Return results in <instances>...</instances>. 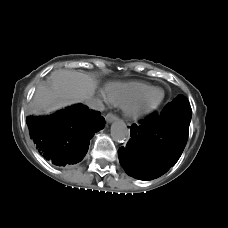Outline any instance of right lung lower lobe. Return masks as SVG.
Masks as SVG:
<instances>
[{
    "mask_svg": "<svg viewBox=\"0 0 228 228\" xmlns=\"http://www.w3.org/2000/svg\"><path fill=\"white\" fill-rule=\"evenodd\" d=\"M29 135L38 151L55 165L81 161L89 140L102 129L105 119L99 112L77 104L46 117H27Z\"/></svg>",
    "mask_w": 228,
    "mask_h": 228,
    "instance_id": "right-lung-lower-lobe-1",
    "label": "right lung lower lobe"
}]
</instances>
